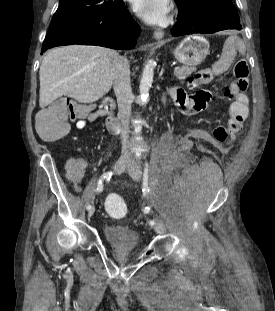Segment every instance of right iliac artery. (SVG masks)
Instances as JSON below:
<instances>
[{
    "instance_id": "right-iliac-artery-1",
    "label": "right iliac artery",
    "mask_w": 275,
    "mask_h": 311,
    "mask_svg": "<svg viewBox=\"0 0 275 311\" xmlns=\"http://www.w3.org/2000/svg\"><path fill=\"white\" fill-rule=\"evenodd\" d=\"M112 174H113L112 171H108V172L104 173V174L100 177V179L98 180V183H97V191H98V192H102V191H103V187H104L103 181H104V179H106L107 181H109L110 178H111V176H112ZM90 209H91V205H88V206H87V210H90Z\"/></svg>"
}]
</instances>
